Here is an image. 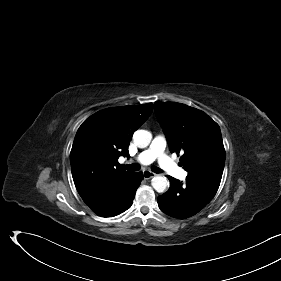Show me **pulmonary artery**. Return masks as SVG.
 I'll use <instances>...</instances> for the list:
<instances>
[{
	"mask_svg": "<svg viewBox=\"0 0 281 281\" xmlns=\"http://www.w3.org/2000/svg\"><path fill=\"white\" fill-rule=\"evenodd\" d=\"M166 145L167 141L165 136L156 135L148 149L137 156V162L147 165L157 160L160 167L169 175L178 179H184L186 177V172L165 154Z\"/></svg>",
	"mask_w": 281,
	"mask_h": 281,
	"instance_id": "e3ab8cb5",
	"label": "pulmonary artery"
}]
</instances>
